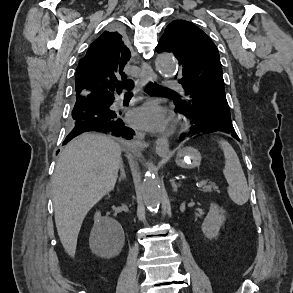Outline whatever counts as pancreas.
Returning <instances> with one entry per match:
<instances>
[{
	"mask_svg": "<svg viewBox=\"0 0 293 293\" xmlns=\"http://www.w3.org/2000/svg\"><path fill=\"white\" fill-rule=\"evenodd\" d=\"M201 190L203 192H209V193L213 191L219 192L218 187L214 183H209L208 185L203 186Z\"/></svg>",
	"mask_w": 293,
	"mask_h": 293,
	"instance_id": "1",
	"label": "pancreas"
}]
</instances>
